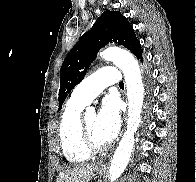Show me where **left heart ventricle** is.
I'll return each mask as SVG.
<instances>
[{"label": "left heart ventricle", "instance_id": "b2bd125f", "mask_svg": "<svg viewBox=\"0 0 196 182\" xmlns=\"http://www.w3.org/2000/svg\"><path fill=\"white\" fill-rule=\"evenodd\" d=\"M86 126L90 133L91 139L96 144H104L105 142L101 139L96 130L97 114L88 113L85 116Z\"/></svg>", "mask_w": 196, "mask_h": 182}]
</instances>
